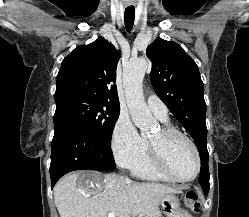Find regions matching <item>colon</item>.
<instances>
[{"label": "colon", "mask_w": 249, "mask_h": 217, "mask_svg": "<svg viewBox=\"0 0 249 217\" xmlns=\"http://www.w3.org/2000/svg\"><path fill=\"white\" fill-rule=\"evenodd\" d=\"M186 206L193 212L200 210V194L197 190H188L184 197Z\"/></svg>", "instance_id": "colon-1"}]
</instances>
